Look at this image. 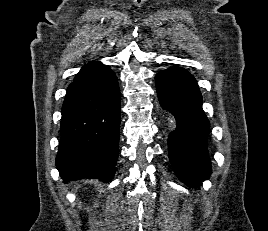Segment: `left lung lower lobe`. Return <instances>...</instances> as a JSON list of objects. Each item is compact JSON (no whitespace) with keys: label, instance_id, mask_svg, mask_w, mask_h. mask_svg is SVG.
Returning <instances> with one entry per match:
<instances>
[{"label":"left lung lower lobe","instance_id":"0a47b994","mask_svg":"<svg viewBox=\"0 0 268 231\" xmlns=\"http://www.w3.org/2000/svg\"><path fill=\"white\" fill-rule=\"evenodd\" d=\"M156 90L162 108L175 116L177 127L168 137L169 158L176 175L197 186L211 174L207 140L210 123L202 109V95L195 78L172 67L157 73Z\"/></svg>","mask_w":268,"mask_h":231}]
</instances>
